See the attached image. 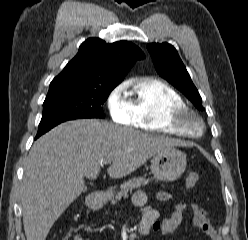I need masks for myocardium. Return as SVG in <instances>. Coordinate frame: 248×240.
I'll list each match as a JSON object with an SVG mask.
<instances>
[{
	"label": "myocardium",
	"instance_id": "f54148a6",
	"mask_svg": "<svg viewBox=\"0 0 248 240\" xmlns=\"http://www.w3.org/2000/svg\"><path fill=\"white\" fill-rule=\"evenodd\" d=\"M166 120L173 129L189 137H198L205 129L203 119L185 104L169 109Z\"/></svg>",
	"mask_w": 248,
	"mask_h": 240
}]
</instances>
